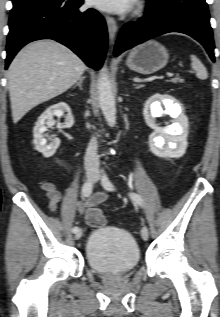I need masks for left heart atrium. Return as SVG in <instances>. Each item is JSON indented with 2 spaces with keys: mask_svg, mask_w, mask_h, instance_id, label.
I'll list each match as a JSON object with an SVG mask.
<instances>
[{
  "mask_svg": "<svg viewBox=\"0 0 220 317\" xmlns=\"http://www.w3.org/2000/svg\"><path fill=\"white\" fill-rule=\"evenodd\" d=\"M97 8L109 12H121L127 10L132 0H92Z\"/></svg>",
  "mask_w": 220,
  "mask_h": 317,
  "instance_id": "obj_1",
  "label": "left heart atrium"
}]
</instances>
